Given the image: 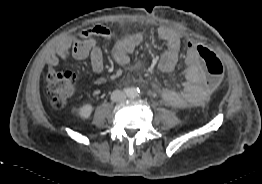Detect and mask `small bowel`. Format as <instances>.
Instances as JSON below:
<instances>
[{"label":"small bowel","instance_id":"1","mask_svg":"<svg viewBox=\"0 0 262 184\" xmlns=\"http://www.w3.org/2000/svg\"><path fill=\"white\" fill-rule=\"evenodd\" d=\"M112 31L103 25H95L80 32V39H63L59 41L55 50L46 58L49 68H54L60 60L70 57L75 59H90L93 72L99 74L104 69L103 53L98 45L99 39L112 38ZM146 33L125 34L117 40L112 47V56L115 62L121 66L129 63L130 54L147 38ZM159 39L165 44L158 67L164 73H171L179 62V53L182 45L181 34L169 27L161 28L158 32ZM196 45L194 41H187L185 54L183 56L184 74L186 80L180 90L162 89L160 91L162 99L174 107H189L204 103L210 94L211 87L204 82L206 75L205 67L197 57ZM104 77L96 79L97 85L105 83Z\"/></svg>","mask_w":262,"mask_h":184}]
</instances>
